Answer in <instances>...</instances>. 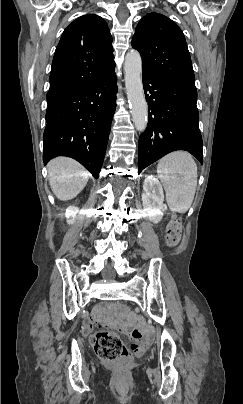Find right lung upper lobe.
<instances>
[{
    "label": "right lung upper lobe",
    "mask_w": 243,
    "mask_h": 404,
    "mask_svg": "<svg viewBox=\"0 0 243 404\" xmlns=\"http://www.w3.org/2000/svg\"><path fill=\"white\" fill-rule=\"evenodd\" d=\"M112 37L101 17L74 20L57 45L46 98L82 88L114 71Z\"/></svg>",
    "instance_id": "1"
}]
</instances>
